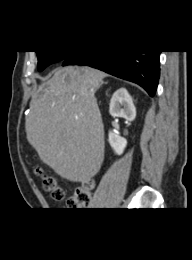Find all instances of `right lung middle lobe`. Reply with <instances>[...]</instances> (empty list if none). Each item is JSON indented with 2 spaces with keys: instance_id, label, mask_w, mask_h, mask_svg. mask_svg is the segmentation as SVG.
Wrapping results in <instances>:
<instances>
[{
  "instance_id": "dd1d6c3e",
  "label": "right lung middle lobe",
  "mask_w": 192,
  "mask_h": 260,
  "mask_svg": "<svg viewBox=\"0 0 192 260\" xmlns=\"http://www.w3.org/2000/svg\"><path fill=\"white\" fill-rule=\"evenodd\" d=\"M38 56V70L42 71L48 65L63 61L71 52L69 51H48V52H41L36 51Z\"/></svg>"
}]
</instances>
